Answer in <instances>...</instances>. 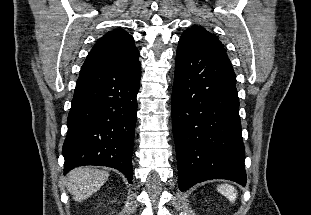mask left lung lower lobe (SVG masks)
Instances as JSON below:
<instances>
[{
    "instance_id": "left-lung-lower-lobe-1",
    "label": "left lung lower lobe",
    "mask_w": 311,
    "mask_h": 215,
    "mask_svg": "<svg viewBox=\"0 0 311 215\" xmlns=\"http://www.w3.org/2000/svg\"><path fill=\"white\" fill-rule=\"evenodd\" d=\"M171 111L181 191L210 179L246 184L236 76L227 54L181 36Z\"/></svg>"
}]
</instances>
